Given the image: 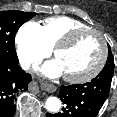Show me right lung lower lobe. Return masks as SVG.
<instances>
[{"label": "right lung lower lobe", "instance_id": "98d812e1", "mask_svg": "<svg viewBox=\"0 0 117 117\" xmlns=\"http://www.w3.org/2000/svg\"><path fill=\"white\" fill-rule=\"evenodd\" d=\"M31 80V75L20 68L18 61L0 59V117L14 115L16 95L20 91H27Z\"/></svg>", "mask_w": 117, "mask_h": 117}]
</instances>
